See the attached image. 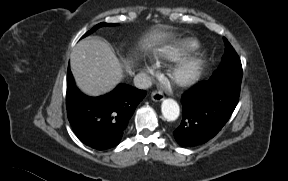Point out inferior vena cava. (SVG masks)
<instances>
[{
  "label": "inferior vena cava",
  "mask_w": 288,
  "mask_h": 181,
  "mask_svg": "<svg viewBox=\"0 0 288 181\" xmlns=\"http://www.w3.org/2000/svg\"><path fill=\"white\" fill-rule=\"evenodd\" d=\"M134 85L139 89H147L152 85L151 77L146 73L137 74L134 77Z\"/></svg>",
  "instance_id": "inferior-vena-cava-1"
}]
</instances>
